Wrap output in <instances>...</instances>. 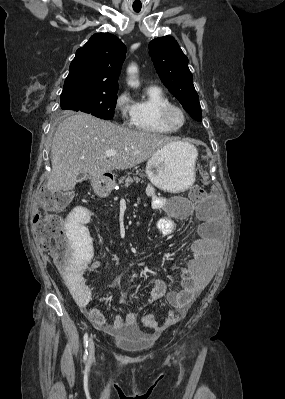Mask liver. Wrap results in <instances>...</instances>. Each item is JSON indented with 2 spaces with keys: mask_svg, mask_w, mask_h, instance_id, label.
Returning <instances> with one entry per match:
<instances>
[{
  "mask_svg": "<svg viewBox=\"0 0 285 399\" xmlns=\"http://www.w3.org/2000/svg\"><path fill=\"white\" fill-rule=\"evenodd\" d=\"M171 143L172 139L160 134L129 129L86 113H72L53 137L47 190H73L79 173L98 178L113 170L130 169ZM110 150L117 156L105 157Z\"/></svg>",
  "mask_w": 285,
  "mask_h": 399,
  "instance_id": "obj_1",
  "label": "liver"
}]
</instances>
